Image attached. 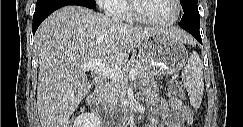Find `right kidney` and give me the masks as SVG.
Listing matches in <instances>:
<instances>
[{
    "label": "right kidney",
    "instance_id": "ca27d5eb",
    "mask_svg": "<svg viewBox=\"0 0 243 127\" xmlns=\"http://www.w3.org/2000/svg\"><path fill=\"white\" fill-rule=\"evenodd\" d=\"M100 118L94 113H82L74 121L73 127H100Z\"/></svg>",
    "mask_w": 243,
    "mask_h": 127
}]
</instances>
